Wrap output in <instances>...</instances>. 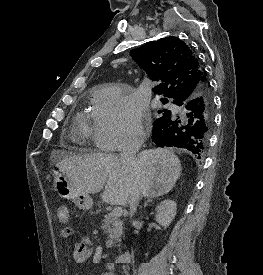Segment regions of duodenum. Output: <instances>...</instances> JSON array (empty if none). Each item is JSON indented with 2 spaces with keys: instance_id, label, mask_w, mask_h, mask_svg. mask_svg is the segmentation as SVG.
Listing matches in <instances>:
<instances>
[{
  "instance_id": "1",
  "label": "duodenum",
  "mask_w": 263,
  "mask_h": 275,
  "mask_svg": "<svg viewBox=\"0 0 263 275\" xmlns=\"http://www.w3.org/2000/svg\"><path fill=\"white\" fill-rule=\"evenodd\" d=\"M130 259L131 252L129 250H125L116 257L115 263H127Z\"/></svg>"
}]
</instances>
